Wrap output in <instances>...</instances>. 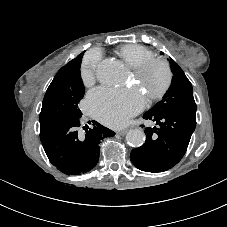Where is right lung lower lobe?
Here are the masks:
<instances>
[{"label": "right lung lower lobe", "instance_id": "1", "mask_svg": "<svg viewBox=\"0 0 227 227\" xmlns=\"http://www.w3.org/2000/svg\"><path fill=\"white\" fill-rule=\"evenodd\" d=\"M85 137L78 136L80 122H55L40 131V140L49 161L67 175H80L92 170L99 160V143L115 133L93 121Z\"/></svg>", "mask_w": 227, "mask_h": 227}]
</instances>
